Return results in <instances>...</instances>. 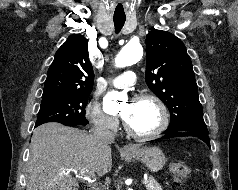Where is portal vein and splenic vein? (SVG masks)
Listing matches in <instances>:
<instances>
[{"instance_id": "portal-vein-and-splenic-vein-1", "label": "portal vein and splenic vein", "mask_w": 238, "mask_h": 190, "mask_svg": "<svg viewBox=\"0 0 238 190\" xmlns=\"http://www.w3.org/2000/svg\"><path fill=\"white\" fill-rule=\"evenodd\" d=\"M69 171H73L74 173L77 174V171H75V170H69ZM83 178L86 179V180H89L91 178L94 179V178H96V175L94 173H88L87 175H84ZM147 183H148V180L143 181V184L146 185Z\"/></svg>"}]
</instances>
